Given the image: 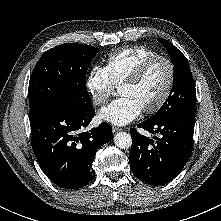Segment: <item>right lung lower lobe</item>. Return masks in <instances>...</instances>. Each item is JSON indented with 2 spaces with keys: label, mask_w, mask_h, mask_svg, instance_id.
<instances>
[{
  "label": "right lung lower lobe",
  "mask_w": 221,
  "mask_h": 221,
  "mask_svg": "<svg viewBox=\"0 0 221 221\" xmlns=\"http://www.w3.org/2000/svg\"><path fill=\"white\" fill-rule=\"evenodd\" d=\"M95 115L91 107L74 111L52 107L31 122L32 147L45 175L65 189H78L94 179L95 152L112 139V127L101 123L81 132Z\"/></svg>",
  "instance_id": "1"
}]
</instances>
